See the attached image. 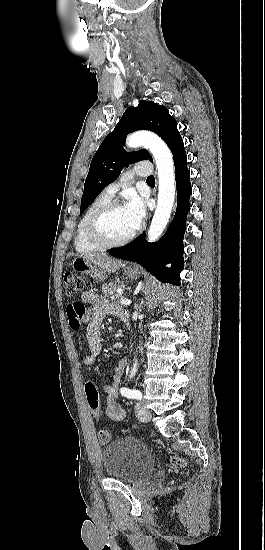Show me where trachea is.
<instances>
[{
  "mask_svg": "<svg viewBox=\"0 0 265 550\" xmlns=\"http://www.w3.org/2000/svg\"><path fill=\"white\" fill-rule=\"evenodd\" d=\"M146 181H147V183L155 182V178H154V176L151 175L147 178Z\"/></svg>",
  "mask_w": 265,
  "mask_h": 550,
  "instance_id": "3493384b",
  "label": "trachea"
}]
</instances>
